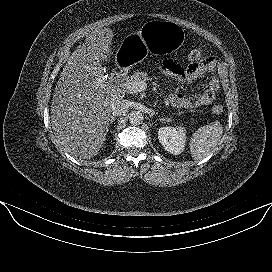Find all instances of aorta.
Segmentation results:
<instances>
[{
    "label": "aorta",
    "mask_w": 272,
    "mask_h": 272,
    "mask_svg": "<svg viewBox=\"0 0 272 272\" xmlns=\"http://www.w3.org/2000/svg\"><path fill=\"white\" fill-rule=\"evenodd\" d=\"M143 120H144V116L141 112L133 111L132 113H130L129 121L131 124L140 125L143 122Z\"/></svg>",
    "instance_id": "aorta-1"
}]
</instances>
